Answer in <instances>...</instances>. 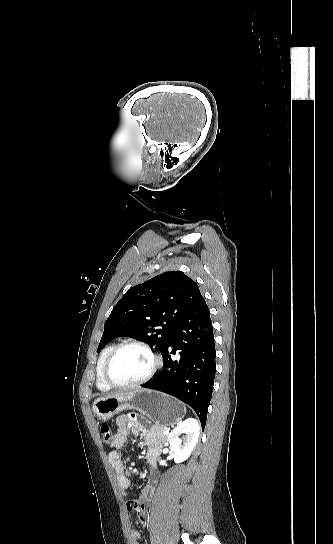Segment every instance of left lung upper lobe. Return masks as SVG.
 Wrapping results in <instances>:
<instances>
[{"label":"left lung upper lobe","instance_id":"left-lung-upper-lobe-1","mask_svg":"<svg viewBox=\"0 0 333 544\" xmlns=\"http://www.w3.org/2000/svg\"><path fill=\"white\" fill-rule=\"evenodd\" d=\"M201 296L198 285L181 271L164 272L130 288L106 320L98 352L114 338L130 335L149 340L162 353Z\"/></svg>","mask_w":333,"mask_h":544}]
</instances>
